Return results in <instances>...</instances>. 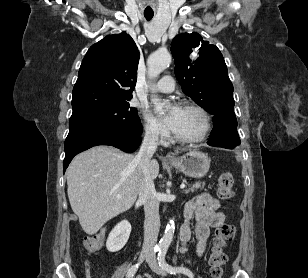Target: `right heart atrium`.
<instances>
[{
  "instance_id": "1",
  "label": "right heart atrium",
  "mask_w": 308,
  "mask_h": 278,
  "mask_svg": "<svg viewBox=\"0 0 308 278\" xmlns=\"http://www.w3.org/2000/svg\"><path fill=\"white\" fill-rule=\"evenodd\" d=\"M143 127L145 137L154 142H164L167 139V131L149 114L143 115Z\"/></svg>"
}]
</instances>
